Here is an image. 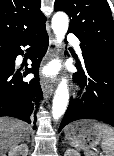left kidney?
<instances>
[{"mask_svg":"<svg viewBox=\"0 0 114 156\" xmlns=\"http://www.w3.org/2000/svg\"><path fill=\"white\" fill-rule=\"evenodd\" d=\"M64 156H80V154L74 149H67Z\"/></svg>","mask_w":114,"mask_h":156,"instance_id":"left-kidney-1","label":"left kidney"}]
</instances>
